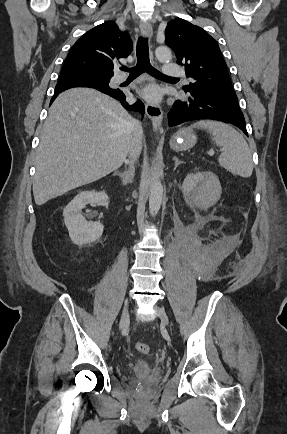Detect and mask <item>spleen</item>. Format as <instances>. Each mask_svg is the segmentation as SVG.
<instances>
[{
    "instance_id": "obj_1",
    "label": "spleen",
    "mask_w": 287,
    "mask_h": 434,
    "mask_svg": "<svg viewBox=\"0 0 287 434\" xmlns=\"http://www.w3.org/2000/svg\"><path fill=\"white\" fill-rule=\"evenodd\" d=\"M191 128L204 129L212 136V141L222 148L223 154L218 158L220 166L234 175L248 178L253 172L252 155L249 146L238 131L232 126L213 120H202Z\"/></svg>"
}]
</instances>
